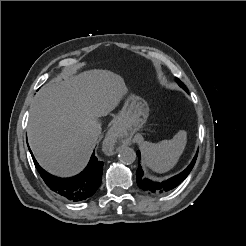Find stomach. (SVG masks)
Instances as JSON below:
<instances>
[{
	"mask_svg": "<svg viewBox=\"0 0 246 246\" xmlns=\"http://www.w3.org/2000/svg\"><path fill=\"white\" fill-rule=\"evenodd\" d=\"M149 115L147 102L139 96L130 95L118 114L116 125L126 135H132L146 123Z\"/></svg>",
	"mask_w": 246,
	"mask_h": 246,
	"instance_id": "obj_1",
	"label": "stomach"
}]
</instances>
